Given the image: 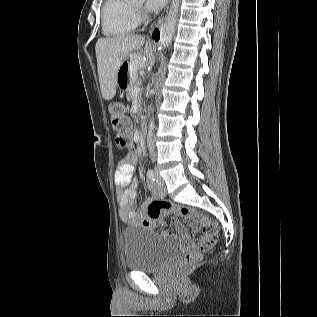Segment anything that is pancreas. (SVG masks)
Listing matches in <instances>:
<instances>
[{
	"label": "pancreas",
	"instance_id": "pancreas-1",
	"mask_svg": "<svg viewBox=\"0 0 317 317\" xmlns=\"http://www.w3.org/2000/svg\"><path fill=\"white\" fill-rule=\"evenodd\" d=\"M134 78L136 79L134 82L131 80L130 85L127 87V97L131 98L133 96V92L135 89H140L141 88V81H139L136 77V75L134 76Z\"/></svg>",
	"mask_w": 317,
	"mask_h": 317
}]
</instances>
